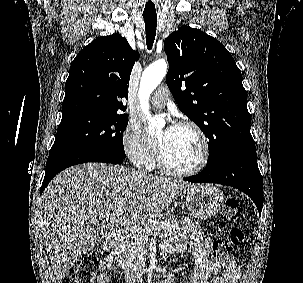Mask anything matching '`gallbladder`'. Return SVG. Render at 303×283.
Listing matches in <instances>:
<instances>
[{"mask_svg": "<svg viewBox=\"0 0 303 283\" xmlns=\"http://www.w3.org/2000/svg\"><path fill=\"white\" fill-rule=\"evenodd\" d=\"M96 232H97L99 237L104 235V231L101 228H96Z\"/></svg>", "mask_w": 303, "mask_h": 283, "instance_id": "1", "label": "gallbladder"}]
</instances>
